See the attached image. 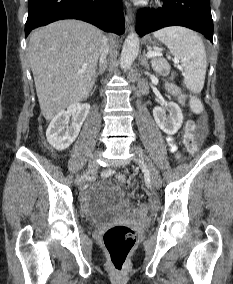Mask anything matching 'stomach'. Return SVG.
Wrapping results in <instances>:
<instances>
[{
	"label": "stomach",
	"instance_id": "stomach-1",
	"mask_svg": "<svg viewBox=\"0 0 233 284\" xmlns=\"http://www.w3.org/2000/svg\"><path fill=\"white\" fill-rule=\"evenodd\" d=\"M148 41H150V42H151V38H148Z\"/></svg>",
	"mask_w": 233,
	"mask_h": 284
}]
</instances>
